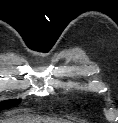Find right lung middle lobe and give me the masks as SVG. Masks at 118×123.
<instances>
[{"instance_id": "right-lung-middle-lobe-1", "label": "right lung middle lobe", "mask_w": 118, "mask_h": 123, "mask_svg": "<svg viewBox=\"0 0 118 123\" xmlns=\"http://www.w3.org/2000/svg\"><path fill=\"white\" fill-rule=\"evenodd\" d=\"M19 102L20 100L16 99L0 102V109L17 105Z\"/></svg>"}]
</instances>
